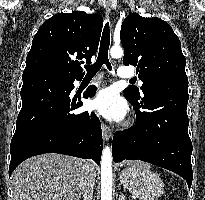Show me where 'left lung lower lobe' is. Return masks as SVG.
I'll list each match as a JSON object with an SVG mask.
<instances>
[{
  "label": "left lung lower lobe",
  "mask_w": 205,
  "mask_h": 200,
  "mask_svg": "<svg viewBox=\"0 0 205 200\" xmlns=\"http://www.w3.org/2000/svg\"><path fill=\"white\" fill-rule=\"evenodd\" d=\"M188 80L151 84L137 100H127L136 113L135 125L114 134L113 160H142L173 171L192 185V143L188 135ZM141 108V109H140Z\"/></svg>",
  "instance_id": "1"
}]
</instances>
